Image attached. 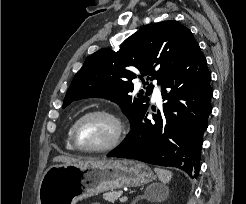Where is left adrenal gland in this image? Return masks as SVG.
Wrapping results in <instances>:
<instances>
[{
    "instance_id": "a2214340",
    "label": "left adrenal gland",
    "mask_w": 246,
    "mask_h": 204,
    "mask_svg": "<svg viewBox=\"0 0 246 204\" xmlns=\"http://www.w3.org/2000/svg\"><path fill=\"white\" fill-rule=\"evenodd\" d=\"M143 197H144V196H142V195L137 196V197L133 200L132 204H135L140 198H143Z\"/></svg>"
}]
</instances>
